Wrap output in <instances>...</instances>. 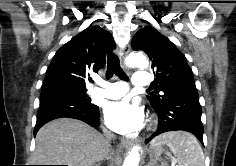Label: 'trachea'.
I'll return each instance as SVG.
<instances>
[{
  "mask_svg": "<svg viewBox=\"0 0 236 166\" xmlns=\"http://www.w3.org/2000/svg\"><path fill=\"white\" fill-rule=\"evenodd\" d=\"M113 74H116L122 80H128V77L120 67L119 58L115 54H109L106 77L111 78Z\"/></svg>",
  "mask_w": 236,
  "mask_h": 166,
  "instance_id": "obj_1",
  "label": "trachea"
}]
</instances>
